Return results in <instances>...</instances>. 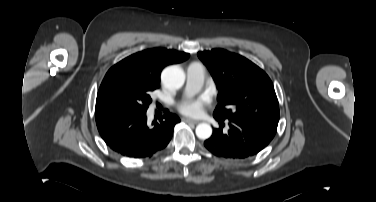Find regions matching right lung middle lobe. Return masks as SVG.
<instances>
[{
	"instance_id": "obj_1",
	"label": "right lung middle lobe",
	"mask_w": 376,
	"mask_h": 202,
	"mask_svg": "<svg viewBox=\"0 0 376 202\" xmlns=\"http://www.w3.org/2000/svg\"><path fill=\"white\" fill-rule=\"evenodd\" d=\"M159 85L160 81L151 80L129 67H112L99 88L95 115L146 112L152 102L150 94Z\"/></svg>"
}]
</instances>
